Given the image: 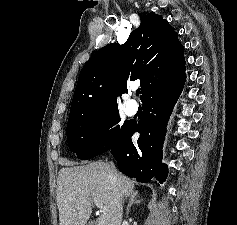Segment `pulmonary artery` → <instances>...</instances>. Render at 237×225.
I'll use <instances>...</instances> for the list:
<instances>
[{
    "instance_id": "obj_1",
    "label": "pulmonary artery",
    "mask_w": 237,
    "mask_h": 225,
    "mask_svg": "<svg viewBox=\"0 0 237 225\" xmlns=\"http://www.w3.org/2000/svg\"><path fill=\"white\" fill-rule=\"evenodd\" d=\"M138 110V103L133 99H128L125 102V111L128 115H134Z\"/></svg>"
}]
</instances>
